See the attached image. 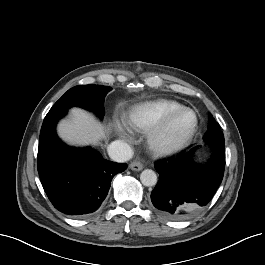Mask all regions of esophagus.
<instances>
[{
	"label": "esophagus",
	"instance_id": "esophagus-1",
	"mask_svg": "<svg viewBox=\"0 0 265 265\" xmlns=\"http://www.w3.org/2000/svg\"><path fill=\"white\" fill-rule=\"evenodd\" d=\"M129 168L133 171H141L143 169V165L139 161L135 160L130 163Z\"/></svg>",
	"mask_w": 265,
	"mask_h": 265
}]
</instances>
